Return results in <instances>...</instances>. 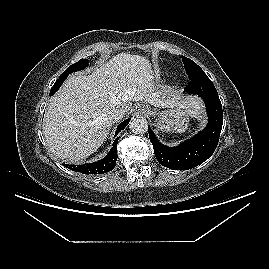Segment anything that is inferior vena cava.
<instances>
[{"label": "inferior vena cava", "mask_w": 269, "mask_h": 269, "mask_svg": "<svg viewBox=\"0 0 269 269\" xmlns=\"http://www.w3.org/2000/svg\"><path fill=\"white\" fill-rule=\"evenodd\" d=\"M125 112H126L125 109L121 107H115L110 110L108 119L111 123L114 124L124 116Z\"/></svg>", "instance_id": "obj_1"}]
</instances>
